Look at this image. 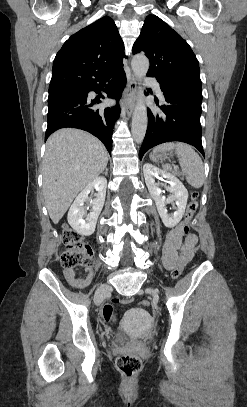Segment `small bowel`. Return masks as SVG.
I'll return each mask as SVG.
<instances>
[{
	"instance_id": "obj_1",
	"label": "small bowel",
	"mask_w": 247,
	"mask_h": 407,
	"mask_svg": "<svg viewBox=\"0 0 247 407\" xmlns=\"http://www.w3.org/2000/svg\"><path fill=\"white\" fill-rule=\"evenodd\" d=\"M195 235H188L183 240L182 223L171 229L165 238L162 250V260L165 269L172 270L178 261V251L182 250L185 264L189 262L193 255V248L196 245ZM64 276L67 282L75 288H84L90 284L94 277L93 270L85 268V276L77 277L75 269H64Z\"/></svg>"
}]
</instances>
